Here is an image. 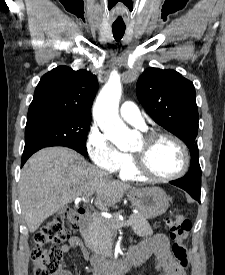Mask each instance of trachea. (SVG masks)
Wrapping results in <instances>:
<instances>
[{"label": "trachea", "mask_w": 225, "mask_h": 275, "mask_svg": "<svg viewBox=\"0 0 225 275\" xmlns=\"http://www.w3.org/2000/svg\"><path fill=\"white\" fill-rule=\"evenodd\" d=\"M112 31H113V36L115 38L116 41H119L124 33H125V27H112Z\"/></svg>", "instance_id": "trachea-1"}]
</instances>
